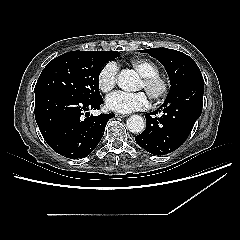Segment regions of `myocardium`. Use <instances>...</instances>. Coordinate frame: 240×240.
<instances>
[{
    "mask_svg": "<svg viewBox=\"0 0 240 240\" xmlns=\"http://www.w3.org/2000/svg\"><path fill=\"white\" fill-rule=\"evenodd\" d=\"M141 81L153 101H159L167 96L169 91L168 82L159 74L142 76Z\"/></svg>",
    "mask_w": 240,
    "mask_h": 240,
    "instance_id": "1",
    "label": "myocardium"
}]
</instances>
